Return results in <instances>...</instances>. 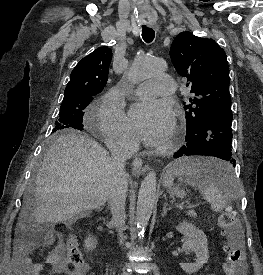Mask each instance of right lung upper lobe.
<instances>
[{"mask_svg": "<svg viewBox=\"0 0 263 275\" xmlns=\"http://www.w3.org/2000/svg\"><path fill=\"white\" fill-rule=\"evenodd\" d=\"M111 59L112 51L107 46L99 47L83 58L70 75L64 98L100 93L107 82Z\"/></svg>", "mask_w": 263, "mask_h": 275, "instance_id": "right-lung-upper-lobe-1", "label": "right lung upper lobe"}]
</instances>
